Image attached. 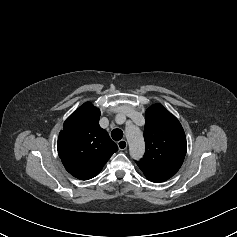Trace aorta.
<instances>
[{"label":"aorta","mask_w":237,"mask_h":237,"mask_svg":"<svg viewBox=\"0 0 237 237\" xmlns=\"http://www.w3.org/2000/svg\"><path fill=\"white\" fill-rule=\"evenodd\" d=\"M125 133L130 156L135 160L141 159L145 153V142L141 130L135 125H130L126 127Z\"/></svg>","instance_id":"obj_1"}]
</instances>
